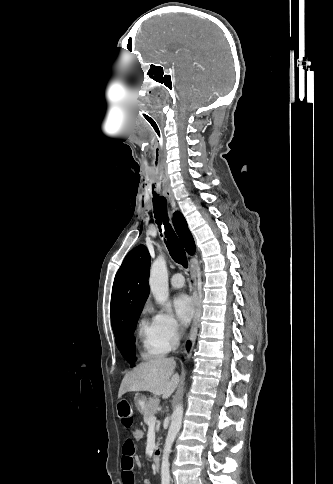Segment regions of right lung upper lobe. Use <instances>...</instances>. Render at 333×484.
<instances>
[{
	"instance_id": "right-lung-upper-lobe-1",
	"label": "right lung upper lobe",
	"mask_w": 333,
	"mask_h": 484,
	"mask_svg": "<svg viewBox=\"0 0 333 484\" xmlns=\"http://www.w3.org/2000/svg\"><path fill=\"white\" fill-rule=\"evenodd\" d=\"M173 224L187 252H195L193 237L185 218L180 212L174 213ZM150 255L144 245L131 250L118 270L112 289L111 321L113 331L131 314L142 310L148 295V275Z\"/></svg>"
}]
</instances>
